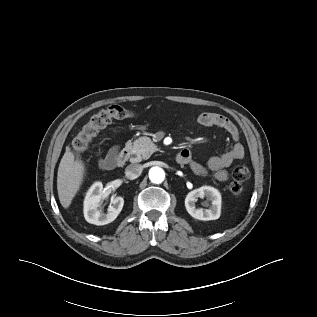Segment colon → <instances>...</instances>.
Listing matches in <instances>:
<instances>
[{"instance_id":"1","label":"colon","mask_w":317,"mask_h":317,"mask_svg":"<svg viewBox=\"0 0 317 317\" xmlns=\"http://www.w3.org/2000/svg\"><path fill=\"white\" fill-rule=\"evenodd\" d=\"M134 115L130 109L120 105H111L105 109H101L94 113L89 121L81 127L77 135L72 140V148L74 152L81 153L85 151L91 140L97 134L112 122L113 119H123ZM250 170L246 163L240 162L236 164L232 170V181L230 183V191L239 196L243 190V183L249 178Z\"/></svg>"}]
</instances>
